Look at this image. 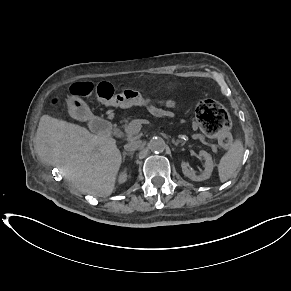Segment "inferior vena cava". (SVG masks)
<instances>
[{
  "label": "inferior vena cava",
  "instance_id": "602c4592",
  "mask_svg": "<svg viewBox=\"0 0 291 291\" xmlns=\"http://www.w3.org/2000/svg\"><path fill=\"white\" fill-rule=\"evenodd\" d=\"M142 144L141 140H134L124 145V149L126 151H135L137 150Z\"/></svg>",
  "mask_w": 291,
  "mask_h": 291
}]
</instances>
